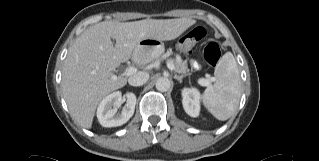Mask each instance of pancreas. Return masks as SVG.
Masks as SVG:
<instances>
[{"mask_svg":"<svg viewBox=\"0 0 319 161\" xmlns=\"http://www.w3.org/2000/svg\"><path fill=\"white\" fill-rule=\"evenodd\" d=\"M168 61L174 65L177 73L184 74V76L190 75L186 61H183L180 56H176L175 59L169 58Z\"/></svg>","mask_w":319,"mask_h":161,"instance_id":"obj_1","label":"pancreas"}]
</instances>
